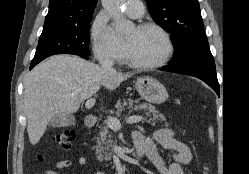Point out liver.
I'll return each mask as SVG.
<instances>
[{"mask_svg": "<svg viewBox=\"0 0 249 174\" xmlns=\"http://www.w3.org/2000/svg\"><path fill=\"white\" fill-rule=\"evenodd\" d=\"M129 74L105 71L77 56L55 55L38 64L25 79L24 110L32 145L39 142L52 117L71 114L101 86L116 89Z\"/></svg>", "mask_w": 249, "mask_h": 174, "instance_id": "obj_1", "label": "liver"}]
</instances>
